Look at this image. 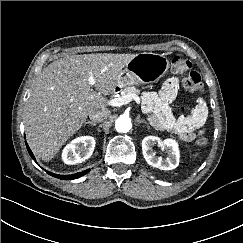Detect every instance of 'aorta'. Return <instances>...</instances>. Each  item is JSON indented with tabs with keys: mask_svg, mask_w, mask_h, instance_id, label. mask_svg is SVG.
I'll list each match as a JSON object with an SVG mask.
<instances>
[{
	"mask_svg": "<svg viewBox=\"0 0 243 243\" xmlns=\"http://www.w3.org/2000/svg\"><path fill=\"white\" fill-rule=\"evenodd\" d=\"M132 127L131 119L128 116L122 115L115 121V129L119 133H126Z\"/></svg>",
	"mask_w": 243,
	"mask_h": 243,
	"instance_id": "1",
	"label": "aorta"
}]
</instances>
